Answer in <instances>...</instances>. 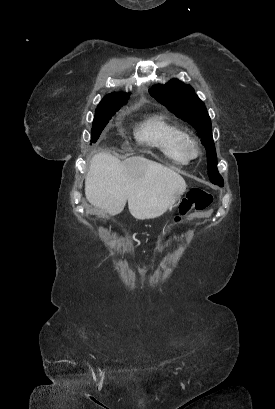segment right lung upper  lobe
<instances>
[{"mask_svg": "<svg viewBox=\"0 0 275 409\" xmlns=\"http://www.w3.org/2000/svg\"><path fill=\"white\" fill-rule=\"evenodd\" d=\"M129 94L123 93H111L108 94L97 106L96 112L108 111V110H119L120 107L126 104Z\"/></svg>", "mask_w": 275, "mask_h": 409, "instance_id": "obj_1", "label": "right lung upper lobe"}]
</instances>
